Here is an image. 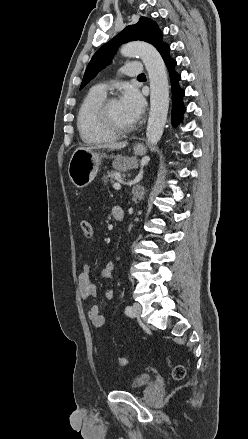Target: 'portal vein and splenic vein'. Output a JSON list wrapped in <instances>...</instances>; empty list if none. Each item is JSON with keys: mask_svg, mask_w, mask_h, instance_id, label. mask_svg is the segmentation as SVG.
Wrapping results in <instances>:
<instances>
[{"mask_svg": "<svg viewBox=\"0 0 248 439\" xmlns=\"http://www.w3.org/2000/svg\"><path fill=\"white\" fill-rule=\"evenodd\" d=\"M113 188H114L115 190H120V189H121V185H120V183H114V184H113Z\"/></svg>", "mask_w": 248, "mask_h": 439, "instance_id": "portal-vein-and-splenic-vein-1", "label": "portal vein and splenic vein"}]
</instances>
